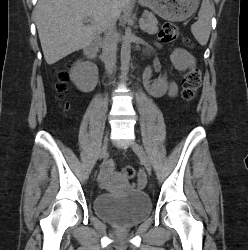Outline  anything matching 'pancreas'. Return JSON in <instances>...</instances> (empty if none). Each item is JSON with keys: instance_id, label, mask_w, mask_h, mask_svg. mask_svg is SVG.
<instances>
[{"instance_id": "obj_1", "label": "pancreas", "mask_w": 248, "mask_h": 250, "mask_svg": "<svg viewBox=\"0 0 248 250\" xmlns=\"http://www.w3.org/2000/svg\"><path fill=\"white\" fill-rule=\"evenodd\" d=\"M142 17H143V23L140 24V28L144 32H146L150 35L157 33L158 21H157L156 17L154 16V14L151 12H145Z\"/></svg>"}]
</instances>
